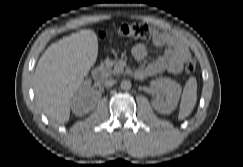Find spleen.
<instances>
[{
  "mask_svg": "<svg viewBox=\"0 0 243 167\" xmlns=\"http://www.w3.org/2000/svg\"><path fill=\"white\" fill-rule=\"evenodd\" d=\"M196 101L197 81L195 77H190L183 89L178 118L184 119L189 116L195 107Z\"/></svg>",
  "mask_w": 243,
  "mask_h": 167,
  "instance_id": "obj_1",
  "label": "spleen"
}]
</instances>
